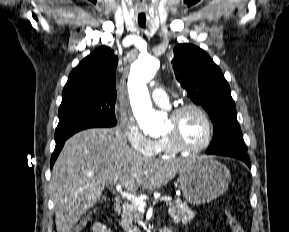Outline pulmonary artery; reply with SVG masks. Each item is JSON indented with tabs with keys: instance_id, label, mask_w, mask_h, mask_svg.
Returning <instances> with one entry per match:
<instances>
[{
	"instance_id": "obj_1",
	"label": "pulmonary artery",
	"mask_w": 289,
	"mask_h": 232,
	"mask_svg": "<svg viewBox=\"0 0 289 232\" xmlns=\"http://www.w3.org/2000/svg\"><path fill=\"white\" fill-rule=\"evenodd\" d=\"M152 100L156 105H158L160 107H164V108L169 107L168 95L161 88H155L152 91Z\"/></svg>"
}]
</instances>
